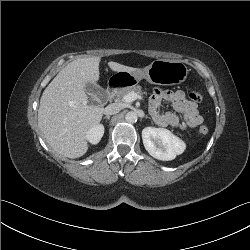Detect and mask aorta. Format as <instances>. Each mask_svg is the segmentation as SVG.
Wrapping results in <instances>:
<instances>
[{"label":"aorta","instance_id":"obj_1","mask_svg":"<svg viewBox=\"0 0 250 250\" xmlns=\"http://www.w3.org/2000/svg\"><path fill=\"white\" fill-rule=\"evenodd\" d=\"M137 114L133 111H130L126 114L125 116V120L129 123H134L137 121Z\"/></svg>","mask_w":250,"mask_h":250}]
</instances>
